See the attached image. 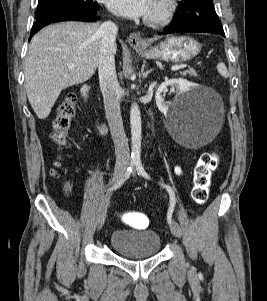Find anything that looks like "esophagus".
<instances>
[{
	"label": "esophagus",
	"instance_id": "1",
	"mask_svg": "<svg viewBox=\"0 0 267 301\" xmlns=\"http://www.w3.org/2000/svg\"><path fill=\"white\" fill-rule=\"evenodd\" d=\"M128 42L132 47H142L144 46V41L140 35V32L132 33L129 38Z\"/></svg>",
	"mask_w": 267,
	"mask_h": 301
}]
</instances>
